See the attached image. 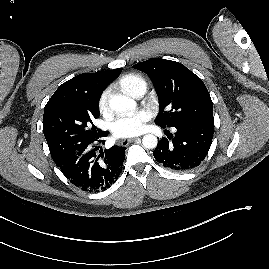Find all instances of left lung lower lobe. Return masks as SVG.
<instances>
[{"mask_svg":"<svg viewBox=\"0 0 269 269\" xmlns=\"http://www.w3.org/2000/svg\"><path fill=\"white\" fill-rule=\"evenodd\" d=\"M174 128L176 129L174 135L169 133L168 139L163 137L153 155L168 169L179 172L192 170L201 164L210 149L214 123L185 122Z\"/></svg>","mask_w":269,"mask_h":269,"instance_id":"0a47b994","label":"left lung lower lobe"}]
</instances>
